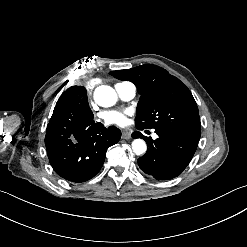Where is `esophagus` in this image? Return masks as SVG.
<instances>
[{
	"label": "esophagus",
	"mask_w": 247,
	"mask_h": 247,
	"mask_svg": "<svg viewBox=\"0 0 247 247\" xmlns=\"http://www.w3.org/2000/svg\"><path fill=\"white\" fill-rule=\"evenodd\" d=\"M131 138V133L129 131L122 132V139L128 140Z\"/></svg>",
	"instance_id": "esophagus-1"
}]
</instances>
